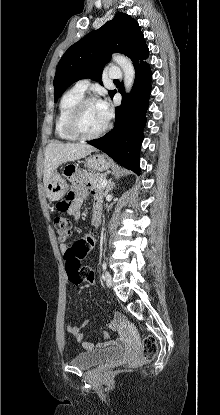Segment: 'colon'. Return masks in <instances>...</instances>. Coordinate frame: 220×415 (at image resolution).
Segmentation results:
<instances>
[{
    "label": "colon",
    "instance_id": "colon-1",
    "mask_svg": "<svg viewBox=\"0 0 220 415\" xmlns=\"http://www.w3.org/2000/svg\"><path fill=\"white\" fill-rule=\"evenodd\" d=\"M68 206L67 201H60L57 208L62 210ZM54 228L61 240L66 239L71 233V223L65 217H57L54 220ZM90 248L83 239L75 241L64 253L65 268L68 280L79 285L83 282H94L93 271L81 266V261L87 256ZM158 351L156 339L153 336L146 337L142 342V353L129 362V367L136 368L153 360Z\"/></svg>",
    "mask_w": 220,
    "mask_h": 415
}]
</instances>
